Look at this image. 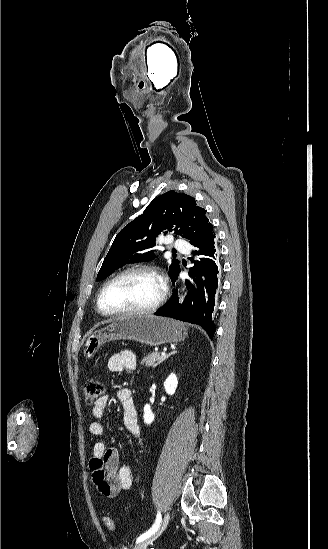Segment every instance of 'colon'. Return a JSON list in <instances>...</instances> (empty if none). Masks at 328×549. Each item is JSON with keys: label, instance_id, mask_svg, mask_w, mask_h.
<instances>
[{"label": "colon", "instance_id": "obj_1", "mask_svg": "<svg viewBox=\"0 0 328 549\" xmlns=\"http://www.w3.org/2000/svg\"><path fill=\"white\" fill-rule=\"evenodd\" d=\"M103 392H104V384L100 379L90 378L86 381L84 385V395L87 403L91 404L95 402L98 398L101 397ZM103 522L108 530L115 529V522L111 517L109 516L104 517Z\"/></svg>", "mask_w": 328, "mask_h": 549}]
</instances>
